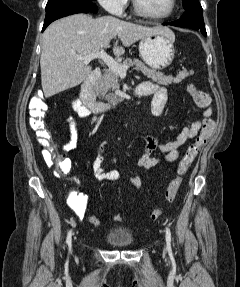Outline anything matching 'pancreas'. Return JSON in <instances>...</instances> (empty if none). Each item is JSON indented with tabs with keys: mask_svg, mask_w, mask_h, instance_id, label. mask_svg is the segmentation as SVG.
Returning a JSON list of instances; mask_svg holds the SVG:
<instances>
[{
	"mask_svg": "<svg viewBox=\"0 0 240 287\" xmlns=\"http://www.w3.org/2000/svg\"><path fill=\"white\" fill-rule=\"evenodd\" d=\"M121 65L135 66L134 69L136 71H141L146 77L152 79L154 82H157L161 85L180 83L183 79L191 75V72L184 70L180 71L175 78L171 76H165L163 73L157 72L156 70L147 67L143 62L136 58H126L121 63ZM118 81L119 74L117 72H114L110 68L106 69L96 86V92L98 96H100L102 99H105L108 103H116L119 98L114 93H112L111 90L113 91L119 88Z\"/></svg>",
	"mask_w": 240,
	"mask_h": 287,
	"instance_id": "obj_1",
	"label": "pancreas"
}]
</instances>
